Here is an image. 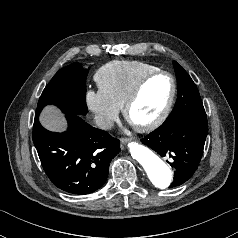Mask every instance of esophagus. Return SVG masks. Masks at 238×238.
Instances as JSON below:
<instances>
[{"mask_svg":"<svg viewBox=\"0 0 238 238\" xmlns=\"http://www.w3.org/2000/svg\"><path fill=\"white\" fill-rule=\"evenodd\" d=\"M120 141L122 144H125V143L129 142L130 140L128 138H121Z\"/></svg>","mask_w":238,"mask_h":238,"instance_id":"esophagus-1","label":"esophagus"}]
</instances>
